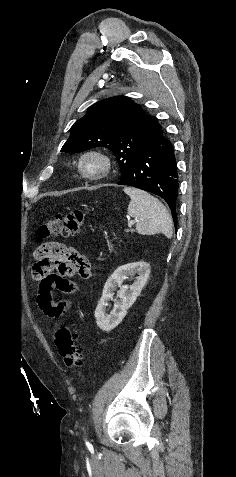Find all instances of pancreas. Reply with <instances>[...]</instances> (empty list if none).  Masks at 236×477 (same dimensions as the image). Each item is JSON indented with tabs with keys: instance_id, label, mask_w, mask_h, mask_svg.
I'll return each mask as SVG.
<instances>
[{
	"instance_id": "cf45deb5",
	"label": "pancreas",
	"mask_w": 236,
	"mask_h": 477,
	"mask_svg": "<svg viewBox=\"0 0 236 477\" xmlns=\"http://www.w3.org/2000/svg\"><path fill=\"white\" fill-rule=\"evenodd\" d=\"M126 231H127V232H129V231L133 232V230H132V229H131V230H126Z\"/></svg>"
}]
</instances>
